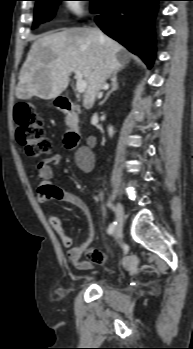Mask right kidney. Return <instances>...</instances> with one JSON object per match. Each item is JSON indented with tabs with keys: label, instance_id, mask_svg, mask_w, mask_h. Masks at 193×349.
<instances>
[{
	"label": "right kidney",
	"instance_id": "obj_1",
	"mask_svg": "<svg viewBox=\"0 0 193 349\" xmlns=\"http://www.w3.org/2000/svg\"><path fill=\"white\" fill-rule=\"evenodd\" d=\"M108 132H109V136L112 137L113 134H114V131H113V127H112V126H110V127L108 128Z\"/></svg>",
	"mask_w": 193,
	"mask_h": 349
}]
</instances>
